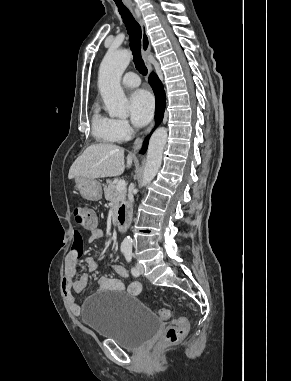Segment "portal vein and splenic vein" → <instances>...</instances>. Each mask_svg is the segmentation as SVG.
I'll return each mask as SVG.
<instances>
[{
	"instance_id": "obj_1",
	"label": "portal vein and splenic vein",
	"mask_w": 291,
	"mask_h": 381,
	"mask_svg": "<svg viewBox=\"0 0 291 381\" xmlns=\"http://www.w3.org/2000/svg\"><path fill=\"white\" fill-rule=\"evenodd\" d=\"M126 188V182H125V180H119V181H117V183H116V189L117 190H124Z\"/></svg>"
}]
</instances>
